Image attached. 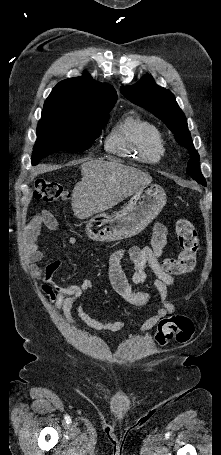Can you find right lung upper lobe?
Instances as JSON below:
<instances>
[{"instance_id": "1", "label": "right lung upper lobe", "mask_w": 221, "mask_h": 455, "mask_svg": "<svg viewBox=\"0 0 221 455\" xmlns=\"http://www.w3.org/2000/svg\"><path fill=\"white\" fill-rule=\"evenodd\" d=\"M116 100L111 85L98 83L85 73L59 82L46 99L42 113L85 118L112 109Z\"/></svg>"}]
</instances>
